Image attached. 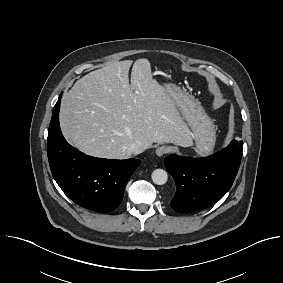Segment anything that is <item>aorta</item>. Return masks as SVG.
<instances>
[{"mask_svg":"<svg viewBox=\"0 0 283 283\" xmlns=\"http://www.w3.org/2000/svg\"><path fill=\"white\" fill-rule=\"evenodd\" d=\"M152 181L157 185H163L167 182L168 175L167 172L163 169H155L152 172Z\"/></svg>","mask_w":283,"mask_h":283,"instance_id":"1","label":"aorta"}]
</instances>
